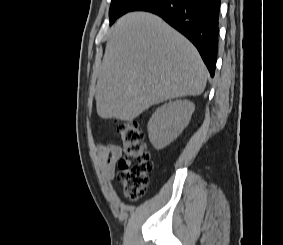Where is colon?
I'll return each instance as SVG.
<instances>
[{"mask_svg": "<svg viewBox=\"0 0 283 245\" xmlns=\"http://www.w3.org/2000/svg\"><path fill=\"white\" fill-rule=\"evenodd\" d=\"M117 133L123 153L119 161L118 179L125 197L130 201H137L146 194L152 171L144 133L135 121L118 122Z\"/></svg>", "mask_w": 283, "mask_h": 245, "instance_id": "obj_1", "label": "colon"}]
</instances>
